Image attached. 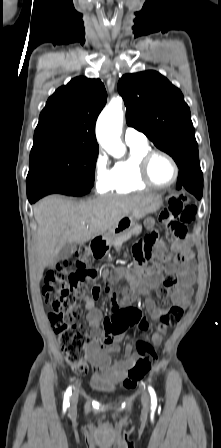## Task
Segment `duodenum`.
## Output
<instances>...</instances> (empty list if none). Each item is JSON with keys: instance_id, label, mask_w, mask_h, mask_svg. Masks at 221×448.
Segmentation results:
<instances>
[{"instance_id": "1", "label": "duodenum", "mask_w": 221, "mask_h": 448, "mask_svg": "<svg viewBox=\"0 0 221 448\" xmlns=\"http://www.w3.org/2000/svg\"><path fill=\"white\" fill-rule=\"evenodd\" d=\"M109 241L105 236L95 237L90 244L91 255L94 258L100 259L103 258L108 250Z\"/></svg>"}]
</instances>
